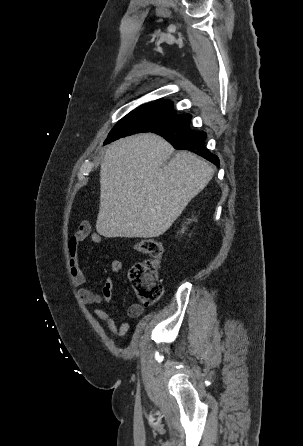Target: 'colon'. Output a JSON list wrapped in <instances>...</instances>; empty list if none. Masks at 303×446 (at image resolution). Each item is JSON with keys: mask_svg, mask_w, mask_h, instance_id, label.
Segmentation results:
<instances>
[{"mask_svg": "<svg viewBox=\"0 0 303 446\" xmlns=\"http://www.w3.org/2000/svg\"><path fill=\"white\" fill-rule=\"evenodd\" d=\"M136 252L146 254L150 259L134 265L129 272L132 289L143 304H154L163 295V288L155 279L164 249L162 244L151 238L139 240L135 246Z\"/></svg>", "mask_w": 303, "mask_h": 446, "instance_id": "colon-1", "label": "colon"}]
</instances>
